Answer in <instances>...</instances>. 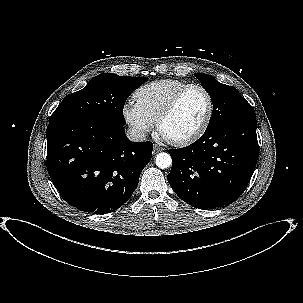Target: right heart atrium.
I'll use <instances>...</instances> for the list:
<instances>
[{
  "label": "right heart atrium",
  "instance_id": "1",
  "mask_svg": "<svg viewBox=\"0 0 303 303\" xmlns=\"http://www.w3.org/2000/svg\"><path fill=\"white\" fill-rule=\"evenodd\" d=\"M123 117L137 138H144L154 127V122L132 101L124 104Z\"/></svg>",
  "mask_w": 303,
  "mask_h": 303
}]
</instances>
